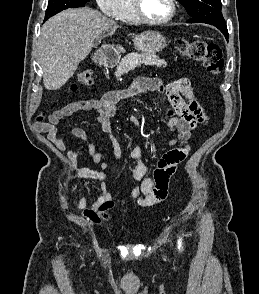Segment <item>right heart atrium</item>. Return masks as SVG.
I'll use <instances>...</instances> for the list:
<instances>
[{
    "label": "right heart atrium",
    "instance_id": "d8ad5b80",
    "mask_svg": "<svg viewBox=\"0 0 259 294\" xmlns=\"http://www.w3.org/2000/svg\"><path fill=\"white\" fill-rule=\"evenodd\" d=\"M101 12L111 18H118L123 7V0H96Z\"/></svg>",
    "mask_w": 259,
    "mask_h": 294
}]
</instances>
